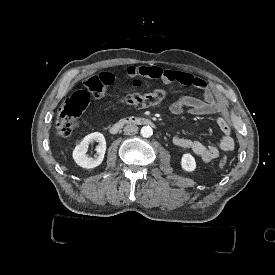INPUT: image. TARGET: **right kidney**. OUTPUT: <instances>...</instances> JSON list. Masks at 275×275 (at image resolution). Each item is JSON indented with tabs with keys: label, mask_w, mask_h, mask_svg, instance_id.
I'll return each mask as SVG.
<instances>
[{
	"label": "right kidney",
	"mask_w": 275,
	"mask_h": 275,
	"mask_svg": "<svg viewBox=\"0 0 275 275\" xmlns=\"http://www.w3.org/2000/svg\"><path fill=\"white\" fill-rule=\"evenodd\" d=\"M97 141L99 145L97 146L98 156L95 158L89 157L87 152L88 144L91 141ZM106 152V141L103 134L99 132H94L86 135L73 149L72 158L75 163L84 169H94L100 166L104 160V155Z\"/></svg>",
	"instance_id": "right-kidney-1"
}]
</instances>
